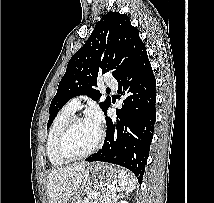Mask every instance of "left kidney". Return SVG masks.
<instances>
[{"label":"left kidney","instance_id":"5707ae66","mask_svg":"<svg viewBox=\"0 0 214 203\" xmlns=\"http://www.w3.org/2000/svg\"><path fill=\"white\" fill-rule=\"evenodd\" d=\"M119 203H128V202L125 200H121Z\"/></svg>","mask_w":214,"mask_h":203}]
</instances>
